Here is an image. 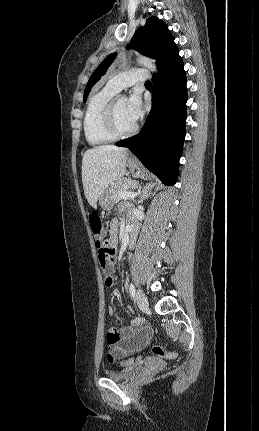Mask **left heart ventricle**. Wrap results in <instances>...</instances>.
I'll return each mask as SVG.
<instances>
[{"label": "left heart ventricle", "mask_w": 259, "mask_h": 431, "mask_svg": "<svg viewBox=\"0 0 259 431\" xmlns=\"http://www.w3.org/2000/svg\"><path fill=\"white\" fill-rule=\"evenodd\" d=\"M115 115L117 124L122 130H128L133 127V123L126 113V99L118 97L115 104Z\"/></svg>", "instance_id": "1"}]
</instances>
